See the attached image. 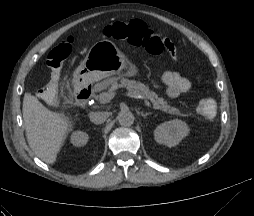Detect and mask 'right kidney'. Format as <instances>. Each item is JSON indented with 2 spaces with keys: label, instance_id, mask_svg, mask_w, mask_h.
<instances>
[{
  "label": "right kidney",
  "instance_id": "1",
  "mask_svg": "<svg viewBox=\"0 0 254 216\" xmlns=\"http://www.w3.org/2000/svg\"><path fill=\"white\" fill-rule=\"evenodd\" d=\"M88 134L83 131H75L71 135V143L76 147H81L87 144L88 142Z\"/></svg>",
  "mask_w": 254,
  "mask_h": 216
}]
</instances>
